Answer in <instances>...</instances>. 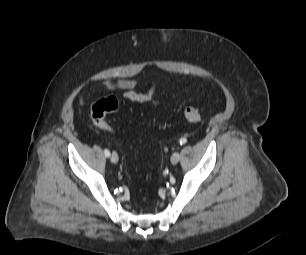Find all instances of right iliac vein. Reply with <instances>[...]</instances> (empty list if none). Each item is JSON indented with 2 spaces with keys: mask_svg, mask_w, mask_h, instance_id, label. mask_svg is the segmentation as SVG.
<instances>
[{
  "mask_svg": "<svg viewBox=\"0 0 306 255\" xmlns=\"http://www.w3.org/2000/svg\"><path fill=\"white\" fill-rule=\"evenodd\" d=\"M110 160H111L112 163H117V162H118L119 157H118V155H117L116 152H113V153L111 154Z\"/></svg>",
  "mask_w": 306,
  "mask_h": 255,
  "instance_id": "obj_1",
  "label": "right iliac vein"
}]
</instances>
